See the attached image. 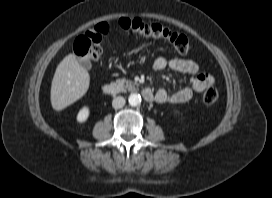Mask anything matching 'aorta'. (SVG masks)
I'll return each mask as SVG.
<instances>
[{
    "label": "aorta",
    "instance_id": "obj_1",
    "mask_svg": "<svg viewBox=\"0 0 272 198\" xmlns=\"http://www.w3.org/2000/svg\"><path fill=\"white\" fill-rule=\"evenodd\" d=\"M128 101L131 106H139L141 104V96L139 94L132 93L130 94Z\"/></svg>",
    "mask_w": 272,
    "mask_h": 198
}]
</instances>
